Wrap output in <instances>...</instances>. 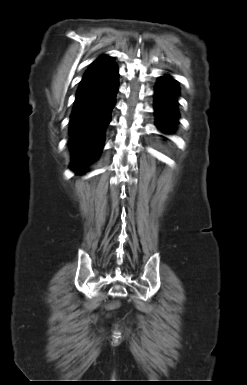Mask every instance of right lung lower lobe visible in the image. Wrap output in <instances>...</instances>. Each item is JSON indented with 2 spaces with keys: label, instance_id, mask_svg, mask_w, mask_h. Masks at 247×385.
Returning a JSON list of instances; mask_svg holds the SVG:
<instances>
[{
  "label": "right lung lower lobe",
  "instance_id": "1",
  "mask_svg": "<svg viewBox=\"0 0 247 385\" xmlns=\"http://www.w3.org/2000/svg\"><path fill=\"white\" fill-rule=\"evenodd\" d=\"M118 67L112 61L87 72L79 85L70 116V168L77 174L87 170L103 149L105 129L118 91Z\"/></svg>",
  "mask_w": 247,
  "mask_h": 385
}]
</instances>
